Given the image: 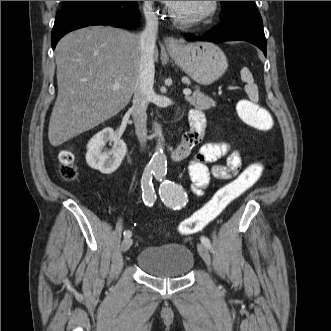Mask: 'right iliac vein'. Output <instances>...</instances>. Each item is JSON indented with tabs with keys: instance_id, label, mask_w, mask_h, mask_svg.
<instances>
[{
	"instance_id": "obj_1",
	"label": "right iliac vein",
	"mask_w": 331,
	"mask_h": 331,
	"mask_svg": "<svg viewBox=\"0 0 331 331\" xmlns=\"http://www.w3.org/2000/svg\"><path fill=\"white\" fill-rule=\"evenodd\" d=\"M132 245V239L130 237L125 238L122 241L121 249L123 252H126Z\"/></svg>"
}]
</instances>
